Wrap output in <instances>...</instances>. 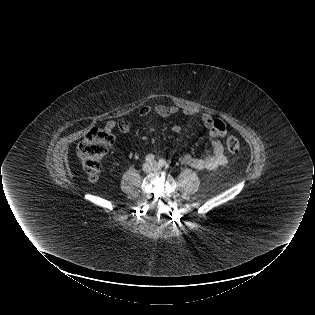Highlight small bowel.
Instances as JSON below:
<instances>
[{
    "label": "small bowel",
    "instance_id": "obj_1",
    "mask_svg": "<svg viewBox=\"0 0 315 315\" xmlns=\"http://www.w3.org/2000/svg\"><path fill=\"white\" fill-rule=\"evenodd\" d=\"M179 108L176 106H169L164 104H158L155 106H143L138 111L139 117H147L151 114H156L160 117L166 118L176 114ZM185 114H191L190 111L186 110ZM201 121L207 128L209 135L212 138L211 142V154L199 158L195 157L189 153L184 154L181 157V162L197 170H215L218 167L225 166L228 163V158L225 154V149L219 140L226 135V126L222 120L215 118L209 113H205L201 116ZM132 126V121L130 119H124L120 121L109 120L104 129L112 132L114 129H119L122 132H128ZM156 127L154 125L150 126L149 131L154 132ZM173 131L175 133L181 134L183 129L180 125L173 126Z\"/></svg>",
    "mask_w": 315,
    "mask_h": 315
}]
</instances>
